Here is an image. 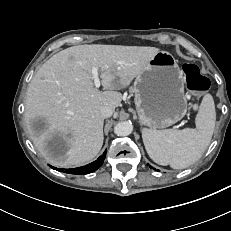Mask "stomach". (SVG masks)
<instances>
[{"instance_id":"obj_1","label":"stomach","mask_w":231,"mask_h":231,"mask_svg":"<svg viewBox=\"0 0 231 231\" xmlns=\"http://www.w3.org/2000/svg\"><path fill=\"white\" fill-rule=\"evenodd\" d=\"M131 90L140 123L152 129L169 127L187 112L183 74L167 51H159L149 61Z\"/></svg>"}]
</instances>
